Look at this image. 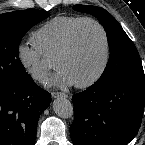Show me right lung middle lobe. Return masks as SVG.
<instances>
[{"label": "right lung middle lobe", "instance_id": "right-lung-middle-lobe-1", "mask_svg": "<svg viewBox=\"0 0 145 145\" xmlns=\"http://www.w3.org/2000/svg\"><path fill=\"white\" fill-rule=\"evenodd\" d=\"M49 16L36 9L0 15V86L23 83L28 77L19 56V44L26 32Z\"/></svg>", "mask_w": 145, "mask_h": 145}]
</instances>
